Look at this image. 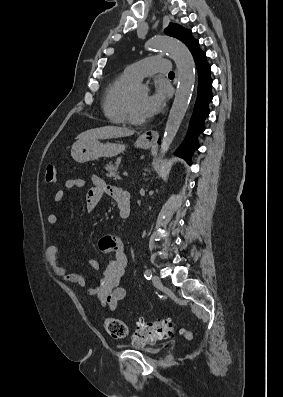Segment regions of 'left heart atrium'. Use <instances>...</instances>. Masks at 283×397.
I'll return each instance as SVG.
<instances>
[{
    "label": "left heart atrium",
    "instance_id": "obj_1",
    "mask_svg": "<svg viewBox=\"0 0 283 397\" xmlns=\"http://www.w3.org/2000/svg\"><path fill=\"white\" fill-rule=\"evenodd\" d=\"M164 93L157 89L154 93L147 96L143 103V113L146 117L153 116L160 112L164 105Z\"/></svg>",
    "mask_w": 283,
    "mask_h": 397
}]
</instances>
